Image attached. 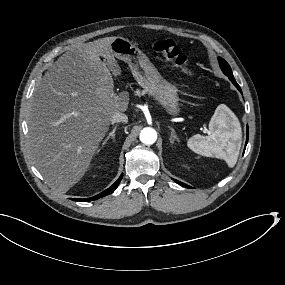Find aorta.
Here are the masks:
<instances>
[{
	"label": "aorta",
	"mask_w": 285,
	"mask_h": 285,
	"mask_svg": "<svg viewBox=\"0 0 285 285\" xmlns=\"http://www.w3.org/2000/svg\"><path fill=\"white\" fill-rule=\"evenodd\" d=\"M157 140V132L151 128L146 127L141 130L140 141L146 145H151Z\"/></svg>",
	"instance_id": "obj_1"
}]
</instances>
